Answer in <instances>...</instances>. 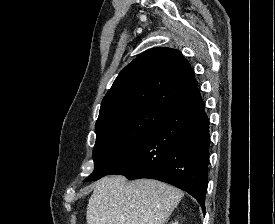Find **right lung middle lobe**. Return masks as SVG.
Returning a JSON list of instances; mask_svg holds the SVG:
<instances>
[{"label": "right lung middle lobe", "mask_w": 275, "mask_h": 224, "mask_svg": "<svg viewBox=\"0 0 275 224\" xmlns=\"http://www.w3.org/2000/svg\"><path fill=\"white\" fill-rule=\"evenodd\" d=\"M165 111L143 107L96 126L94 171L84 181H96L108 175L145 139Z\"/></svg>", "instance_id": "1"}]
</instances>
